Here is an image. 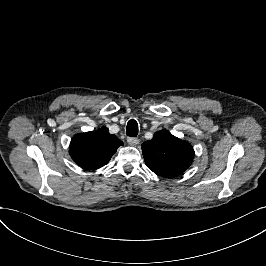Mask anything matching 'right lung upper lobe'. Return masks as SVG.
I'll use <instances>...</instances> for the list:
<instances>
[{
  "label": "right lung upper lobe",
  "mask_w": 266,
  "mask_h": 266,
  "mask_svg": "<svg viewBox=\"0 0 266 266\" xmlns=\"http://www.w3.org/2000/svg\"><path fill=\"white\" fill-rule=\"evenodd\" d=\"M121 145L123 142L103 126L96 131L75 135L69 153L81 168L95 170L107 164Z\"/></svg>",
  "instance_id": "right-lung-upper-lobe-1"
}]
</instances>
